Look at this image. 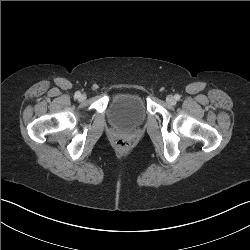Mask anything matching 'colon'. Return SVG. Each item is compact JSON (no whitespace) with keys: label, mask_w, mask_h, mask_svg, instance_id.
Wrapping results in <instances>:
<instances>
[{"label":"colon","mask_w":250,"mask_h":250,"mask_svg":"<svg viewBox=\"0 0 250 250\" xmlns=\"http://www.w3.org/2000/svg\"><path fill=\"white\" fill-rule=\"evenodd\" d=\"M115 144L116 147L122 151L127 150L129 147V142L126 139H118Z\"/></svg>","instance_id":"obj_1"}]
</instances>
